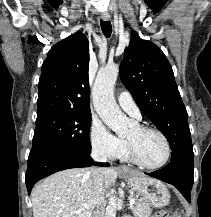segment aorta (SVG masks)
Listing matches in <instances>:
<instances>
[{
    "label": "aorta",
    "instance_id": "1",
    "mask_svg": "<svg viewBox=\"0 0 211 217\" xmlns=\"http://www.w3.org/2000/svg\"><path fill=\"white\" fill-rule=\"evenodd\" d=\"M119 73L118 64L99 70L92 89L94 108L102 121L116 134L123 135L129 127L128 118L122 113L114 98V85ZM117 197L112 195L105 217H116Z\"/></svg>",
    "mask_w": 211,
    "mask_h": 217
}]
</instances>
